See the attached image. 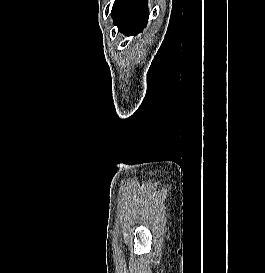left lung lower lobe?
<instances>
[{
  "label": "left lung lower lobe",
  "mask_w": 265,
  "mask_h": 273,
  "mask_svg": "<svg viewBox=\"0 0 265 273\" xmlns=\"http://www.w3.org/2000/svg\"><path fill=\"white\" fill-rule=\"evenodd\" d=\"M112 17L120 32L128 36L136 35L148 21L147 0H115Z\"/></svg>",
  "instance_id": "0a47b994"
}]
</instances>
